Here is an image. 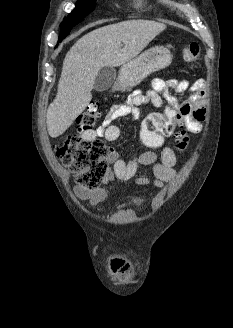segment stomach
<instances>
[{"mask_svg":"<svg viewBox=\"0 0 233 328\" xmlns=\"http://www.w3.org/2000/svg\"><path fill=\"white\" fill-rule=\"evenodd\" d=\"M170 51L162 46L152 47L138 57L122 65L117 89L124 91L138 85L151 73L171 64Z\"/></svg>","mask_w":233,"mask_h":328,"instance_id":"obj_1","label":"stomach"}]
</instances>
